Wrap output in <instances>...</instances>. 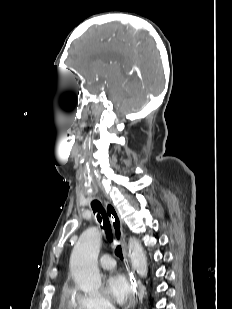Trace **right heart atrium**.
I'll use <instances>...</instances> for the list:
<instances>
[{"mask_svg": "<svg viewBox=\"0 0 232 309\" xmlns=\"http://www.w3.org/2000/svg\"><path fill=\"white\" fill-rule=\"evenodd\" d=\"M69 295L77 309H116L107 296L98 292L83 294L69 290Z\"/></svg>", "mask_w": 232, "mask_h": 309, "instance_id": "1", "label": "right heart atrium"}]
</instances>
